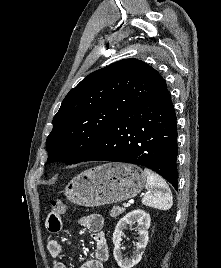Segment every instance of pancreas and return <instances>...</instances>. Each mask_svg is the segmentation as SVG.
I'll use <instances>...</instances> for the list:
<instances>
[{
    "label": "pancreas",
    "mask_w": 221,
    "mask_h": 268,
    "mask_svg": "<svg viewBox=\"0 0 221 268\" xmlns=\"http://www.w3.org/2000/svg\"><path fill=\"white\" fill-rule=\"evenodd\" d=\"M124 211L125 209L118 207V206H114L112 210L110 211V216L113 218H116L119 215H121Z\"/></svg>",
    "instance_id": "pancreas-1"
}]
</instances>
